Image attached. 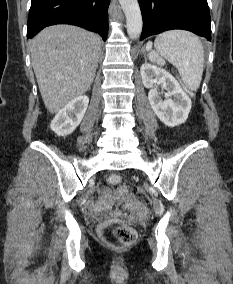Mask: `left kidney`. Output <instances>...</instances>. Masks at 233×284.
Here are the masks:
<instances>
[{"label": "left kidney", "mask_w": 233, "mask_h": 284, "mask_svg": "<svg viewBox=\"0 0 233 284\" xmlns=\"http://www.w3.org/2000/svg\"><path fill=\"white\" fill-rule=\"evenodd\" d=\"M140 73L144 86L150 89L148 99L160 121L169 127L184 123L191 109V99L178 81L165 69L149 63L141 66ZM156 82L167 91V99L163 100L153 88Z\"/></svg>", "instance_id": "obj_1"}]
</instances>
